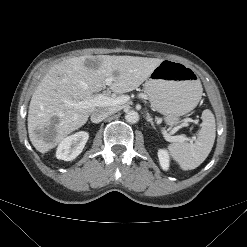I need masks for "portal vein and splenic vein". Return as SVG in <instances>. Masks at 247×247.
Instances as JSON below:
<instances>
[{"label":"portal vein and splenic vein","instance_id":"18ae733b","mask_svg":"<svg viewBox=\"0 0 247 247\" xmlns=\"http://www.w3.org/2000/svg\"><path fill=\"white\" fill-rule=\"evenodd\" d=\"M112 79L107 78L106 79V84L109 85L111 84ZM130 99L129 96H119V97H108L105 94H97L94 97H89L88 99L82 100L80 102L74 103L72 101H65L68 105L75 107L76 109L80 108H88V107H95V106H118L126 103ZM164 137L170 141V142H184L185 140H190L193 141L195 140L194 137L191 139L186 138L183 135H178V136H171L167 132H163Z\"/></svg>","mask_w":247,"mask_h":247}]
</instances>
